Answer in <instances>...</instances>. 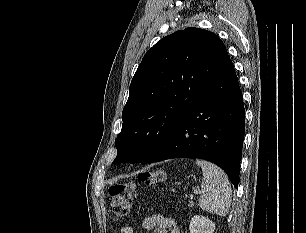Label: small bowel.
<instances>
[{"label": "small bowel", "instance_id": "c3829d8e", "mask_svg": "<svg viewBox=\"0 0 306 233\" xmlns=\"http://www.w3.org/2000/svg\"><path fill=\"white\" fill-rule=\"evenodd\" d=\"M142 227L153 233H180L176 219L161 214L145 217L142 220ZM120 233H134V228L132 225H125L120 229Z\"/></svg>", "mask_w": 306, "mask_h": 233}]
</instances>
